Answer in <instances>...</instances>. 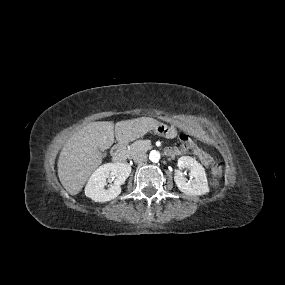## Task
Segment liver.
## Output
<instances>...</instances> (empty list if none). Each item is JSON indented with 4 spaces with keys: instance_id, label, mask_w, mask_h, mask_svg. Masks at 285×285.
Returning <instances> with one entry per match:
<instances>
[{
    "instance_id": "6515ba94",
    "label": "liver",
    "mask_w": 285,
    "mask_h": 285,
    "mask_svg": "<svg viewBox=\"0 0 285 285\" xmlns=\"http://www.w3.org/2000/svg\"><path fill=\"white\" fill-rule=\"evenodd\" d=\"M160 122L150 117L92 122L75 132L64 144L57 163L58 177L71 194H78L91 173L102 163L100 151L109 149L114 136L127 144L155 129Z\"/></svg>"
}]
</instances>
